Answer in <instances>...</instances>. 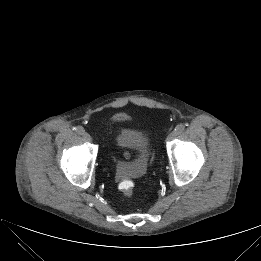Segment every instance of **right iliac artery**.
Masks as SVG:
<instances>
[{
	"label": "right iliac artery",
	"instance_id": "82829eb1",
	"mask_svg": "<svg viewBox=\"0 0 261 261\" xmlns=\"http://www.w3.org/2000/svg\"><path fill=\"white\" fill-rule=\"evenodd\" d=\"M75 131H76L78 134H80V135L84 134V132H85L84 128L81 127V126L76 127V128H75Z\"/></svg>",
	"mask_w": 261,
	"mask_h": 261
}]
</instances>
